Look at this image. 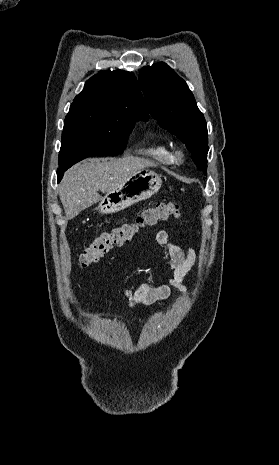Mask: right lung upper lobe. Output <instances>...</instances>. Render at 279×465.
I'll return each instance as SVG.
<instances>
[{"label": "right lung upper lobe", "instance_id": "1", "mask_svg": "<svg viewBox=\"0 0 279 465\" xmlns=\"http://www.w3.org/2000/svg\"><path fill=\"white\" fill-rule=\"evenodd\" d=\"M121 118L148 120V110L132 72L100 71L70 106L64 128L99 126Z\"/></svg>", "mask_w": 279, "mask_h": 465}]
</instances>
